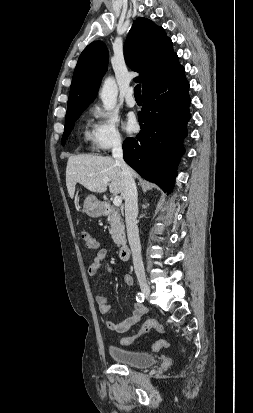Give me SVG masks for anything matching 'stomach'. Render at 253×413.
<instances>
[{
	"label": "stomach",
	"mask_w": 253,
	"mask_h": 413,
	"mask_svg": "<svg viewBox=\"0 0 253 413\" xmlns=\"http://www.w3.org/2000/svg\"><path fill=\"white\" fill-rule=\"evenodd\" d=\"M85 213L90 217H99L104 213V208L94 195H88L83 205Z\"/></svg>",
	"instance_id": "obj_1"
}]
</instances>
